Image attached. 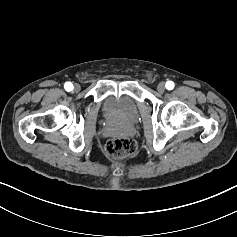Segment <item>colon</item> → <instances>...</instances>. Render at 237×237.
Here are the masks:
<instances>
[{
	"instance_id": "5ec220e1",
	"label": "colon",
	"mask_w": 237,
	"mask_h": 237,
	"mask_svg": "<svg viewBox=\"0 0 237 237\" xmlns=\"http://www.w3.org/2000/svg\"><path fill=\"white\" fill-rule=\"evenodd\" d=\"M136 150L135 142L125 136L115 137L107 141L105 145L106 153L113 159L121 160L134 154Z\"/></svg>"
}]
</instances>
